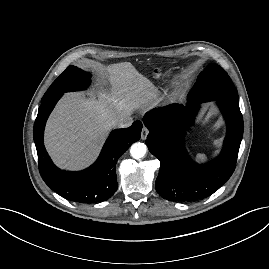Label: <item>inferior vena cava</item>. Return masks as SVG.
Instances as JSON below:
<instances>
[{
	"mask_svg": "<svg viewBox=\"0 0 269 269\" xmlns=\"http://www.w3.org/2000/svg\"><path fill=\"white\" fill-rule=\"evenodd\" d=\"M132 123H133V119L131 117H126V118L122 119L121 121H119L117 126L119 128H127V127L131 126Z\"/></svg>",
	"mask_w": 269,
	"mask_h": 269,
	"instance_id": "obj_1",
	"label": "inferior vena cava"
}]
</instances>
